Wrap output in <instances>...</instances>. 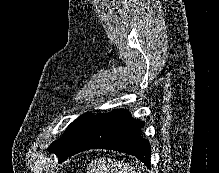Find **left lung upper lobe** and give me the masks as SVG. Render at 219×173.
I'll use <instances>...</instances> for the list:
<instances>
[{
  "label": "left lung upper lobe",
  "mask_w": 219,
  "mask_h": 173,
  "mask_svg": "<svg viewBox=\"0 0 219 173\" xmlns=\"http://www.w3.org/2000/svg\"><path fill=\"white\" fill-rule=\"evenodd\" d=\"M92 117L93 115L90 112L79 116L66 128L62 137L49 146L48 150L60 158L75 143Z\"/></svg>",
  "instance_id": "left-lung-upper-lobe-1"
}]
</instances>
